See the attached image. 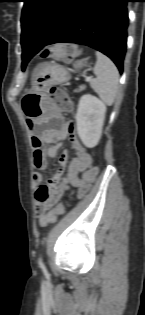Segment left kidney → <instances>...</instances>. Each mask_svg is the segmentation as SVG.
Segmentation results:
<instances>
[{"label":"left kidney","instance_id":"left-kidney-1","mask_svg":"<svg viewBox=\"0 0 145 315\" xmlns=\"http://www.w3.org/2000/svg\"><path fill=\"white\" fill-rule=\"evenodd\" d=\"M106 105L97 97L83 95L78 104L76 124L78 135L88 148L95 147L102 134Z\"/></svg>","mask_w":145,"mask_h":315}]
</instances>
